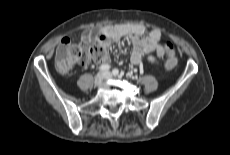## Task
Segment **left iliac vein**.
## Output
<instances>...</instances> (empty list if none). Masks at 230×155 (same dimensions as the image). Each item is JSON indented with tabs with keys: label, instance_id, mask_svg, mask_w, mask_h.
<instances>
[{
	"label": "left iliac vein",
	"instance_id": "left-iliac-vein-1",
	"mask_svg": "<svg viewBox=\"0 0 230 155\" xmlns=\"http://www.w3.org/2000/svg\"><path fill=\"white\" fill-rule=\"evenodd\" d=\"M104 74L106 79L112 78V74L110 72H105Z\"/></svg>",
	"mask_w": 230,
	"mask_h": 155
}]
</instances>
